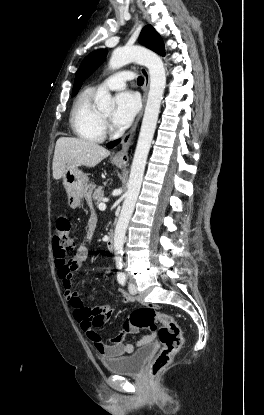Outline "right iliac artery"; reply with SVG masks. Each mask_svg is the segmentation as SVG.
Segmentation results:
<instances>
[{
  "mask_svg": "<svg viewBox=\"0 0 264 415\" xmlns=\"http://www.w3.org/2000/svg\"><path fill=\"white\" fill-rule=\"evenodd\" d=\"M119 269H120V270H122V267H120ZM118 282H119L122 286H124V285H125V283H126V277H125V275H123V276L119 277Z\"/></svg>",
  "mask_w": 264,
  "mask_h": 415,
  "instance_id": "1",
  "label": "right iliac artery"
}]
</instances>
